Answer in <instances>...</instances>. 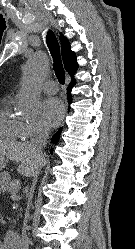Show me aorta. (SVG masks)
<instances>
[{
  "label": "aorta",
  "mask_w": 135,
  "mask_h": 249,
  "mask_svg": "<svg viewBox=\"0 0 135 249\" xmlns=\"http://www.w3.org/2000/svg\"><path fill=\"white\" fill-rule=\"evenodd\" d=\"M49 65L47 56L41 52L35 53L25 64L23 84L18 94V105L30 116L36 115L39 111L40 85L48 74Z\"/></svg>",
  "instance_id": "1"
}]
</instances>
